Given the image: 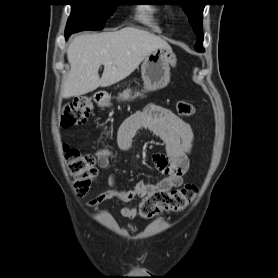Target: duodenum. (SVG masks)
Segmentation results:
<instances>
[{
    "label": "duodenum",
    "mask_w": 278,
    "mask_h": 278,
    "mask_svg": "<svg viewBox=\"0 0 278 278\" xmlns=\"http://www.w3.org/2000/svg\"><path fill=\"white\" fill-rule=\"evenodd\" d=\"M103 98H104V96L102 93H100V92L96 93L95 99L97 102H101L103 100Z\"/></svg>",
    "instance_id": "obj_1"
}]
</instances>
